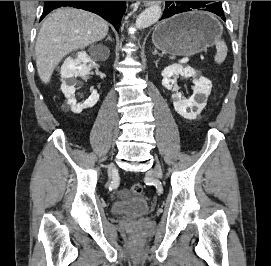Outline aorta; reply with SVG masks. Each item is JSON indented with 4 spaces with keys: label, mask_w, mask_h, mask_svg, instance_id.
Masks as SVG:
<instances>
[{
    "label": "aorta",
    "mask_w": 271,
    "mask_h": 266,
    "mask_svg": "<svg viewBox=\"0 0 271 266\" xmlns=\"http://www.w3.org/2000/svg\"><path fill=\"white\" fill-rule=\"evenodd\" d=\"M162 15V9L158 5H152L145 9L137 18L135 26L137 29H144L156 23Z\"/></svg>",
    "instance_id": "obj_1"
}]
</instances>
